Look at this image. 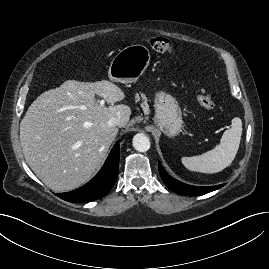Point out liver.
<instances>
[{
    "mask_svg": "<svg viewBox=\"0 0 269 269\" xmlns=\"http://www.w3.org/2000/svg\"><path fill=\"white\" fill-rule=\"evenodd\" d=\"M95 95L111 104L96 102ZM124 92L108 80H67L45 91L28 108L20 123L24 157L35 175L55 192L73 190L87 182L103 163L118 129L112 117L129 121L127 105H113Z\"/></svg>",
    "mask_w": 269,
    "mask_h": 269,
    "instance_id": "6515ba94",
    "label": "liver"
}]
</instances>
